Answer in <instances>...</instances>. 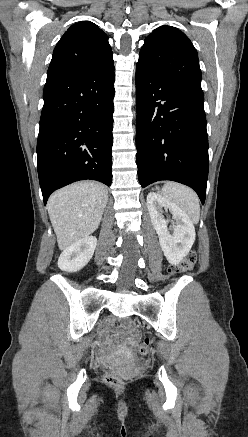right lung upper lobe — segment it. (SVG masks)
I'll return each instance as SVG.
<instances>
[{
  "instance_id": "right-lung-upper-lobe-1",
  "label": "right lung upper lobe",
  "mask_w": 248,
  "mask_h": 437,
  "mask_svg": "<svg viewBox=\"0 0 248 437\" xmlns=\"http://www.w3.org/2000/svg\"><path fill=\"white\" fill-rule=\"evenodd\" d=\"M113 64L106 34L90 21L72 25L53 51L47 77L87 75Z\"/></svg>"
}]
</instances>
